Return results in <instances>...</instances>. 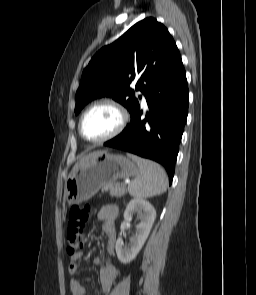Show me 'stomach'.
<instances>
[{"label": "stomach", "mask_w": 256, "mask_h": 295, "mask_svg": "<svg viewBox=\"0 0 256 295\" xmlns=\"http://www.w3.org/2000/svg\"><path fill=\"white\" fill-rule=\"evenodd\" d=\"M138 171L136 164L125 156L104 151L72 171L66 183L65 200L69 205L80 204L102 187L135 176Z\"/></svg>", "instance_id": "obj_1"}]
</instances>
